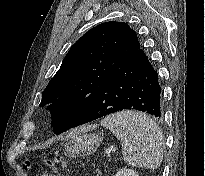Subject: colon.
Masks as SVG:
<instances>
[{"label":"colon","mask_w":205,"mask_h":176,"mask_svg":"<svg viewBox=\"0 0 205 176\" xmlns=\"http://www.w3.org/2000/svg\"><path fill=\"white\" fill-rule=\"evenodd\" d=\"M44 162L47 166L54 168L56 165L61 164L62 161L59 157H55L53 160H47ZM29 169L34 174V176H51V173L44 168L29 166Z\"/></svg>","instance_id":"5ec220e1"}]
</instances>
